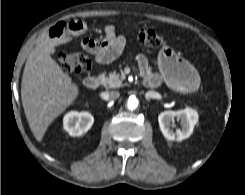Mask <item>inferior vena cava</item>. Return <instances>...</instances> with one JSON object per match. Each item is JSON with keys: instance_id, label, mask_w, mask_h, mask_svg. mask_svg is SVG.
<instances>
[{"instance_id": "obj_1", "label": "inferior vena cava", "mask_w": 245, "mask_h": 195, "mask_svg": "<svg viewBox=\"0 0 245 195\" xmlns=\"http://www.w3.org/2000/svg\"><path fill=\"white\" fill-rule=\"evenodd\" d=\"M100 96L104 99V100H114L119 98L120 93L117 91H108V92H103L100 94Z\"/></svg>"}]
</instances>
